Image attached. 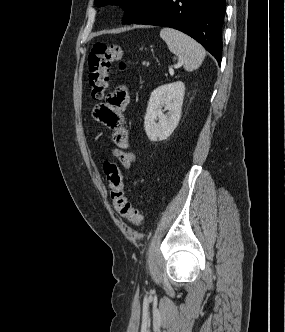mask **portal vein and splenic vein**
<instances>
[{"instance_id":"portal-vein-and-splenic-vein-1","label":"portal vein and splenic vein","mask_w":285,"mask_h":332,"mask_svg":"<svg viewBox=\"0 0 285 332\" xmlns=\"http://www.w3.org/2000/svg\"><path fill=\"white\" fill-rule=\"evenodd\" d=\"M182 65V62H179L178 64H177V66H181Z\"/></svg>"}]
</instances>
